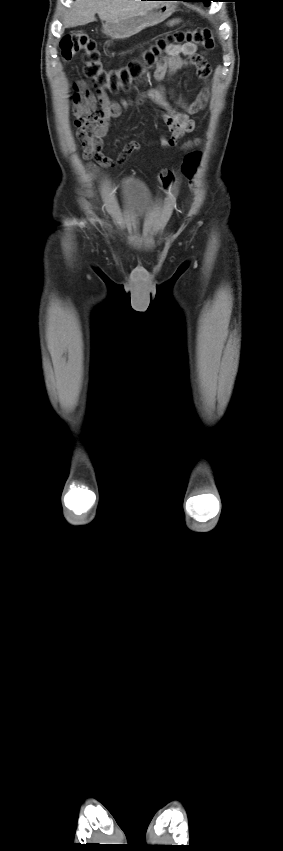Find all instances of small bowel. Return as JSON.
<instances>
[{"instance_id":"1","label":"small bowel","mask_w":283,"mask_h":851,"mask_svg":"<svg viewBox=\"0 0 283 851\" xmlns=\"http://www.w3.org/2000/svg\"><path fill=\"white\" fill-rule=\"evenodd\" d=\"M204 53L197 51L194 44L171 45L166 51L165 57L157 66L154 73L155 80L159 83L167 76L176 72L195 66L199 76L206 82L210 74V67L204 60ZM143 98L149 99L162 110V118L170 132V137L160 136L161 145L171 148L178 145L180 139L196 129V123L190 115L203 110L208 100V88L204 87L194 101L187 102L183 98H176L172 104L163 87L158 86L148 91ZM72 111L75 116L76 136L80 140L83 149V158L88 161L87 167L90 171L98 172V166L110 168L124 162L131 154L139 149V144L130 142L126 145L116 160L102 153L103 139L110 127V120L121 115L131 102L123 100L114 102L109 99L104 90H97L94 95L89 85L84 80L77 81L73 86L71 94ZM100 102L101 110L96 111L97 102ZM92 134L89 135L88 131ZM200 144V139L185 142L182 147L190 149Z\"/></svg>"}]
</instances>
